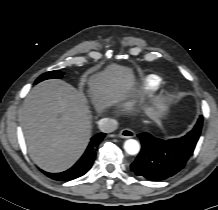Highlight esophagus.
<instances>
[{
  "label": "esophagus",
  "mask_w": 218,
  "mask_h": 210,
  "mask_svg": "<svg viewBox=\"0 0 218 210\" xmlns=\"http://www.w3.org/2000/svg\"><path fill=\"white\" fill-rule=\"evenodd\" d=\"M119 136L121 138H132L135 136V133L133 130L131 129H128V128H125V129H122L119 133Z\"/></svg>",
  "instance_id": "1"
}]
</instances>
